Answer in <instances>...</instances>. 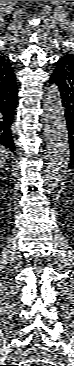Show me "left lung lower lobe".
<instances>
[{"instance_id": "left-lung-lower-lobe-1", "label": "left lung lower lobe", "mask_w": 74, "mask_h": 366, "mask_svg": "<svg viewBox=\"0 0 74 366\" xmlns=\"http://www.w3.org/2000/svg\"><path fill=\"white\" fill-rule=\"evenodd\" d=\"M50 82L54 83L60 91L62 104L65 108V117L70 140L71 161L74 165V58L70 56L61 57Z\"/></svg>"}]
</instances>
